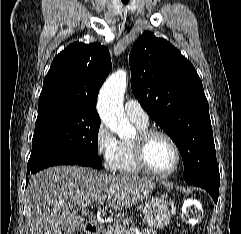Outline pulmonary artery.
Returning a JSON list of instances; mask_svg holds the SVG:
<instances>
[{
	"label": "pulmonary artery",
	"instance_id": "pulmonary-artery-1",
	"mask_svg": "<svg viewBox=\"0 0 241 234\" xmlns=\"http://www.w3.org/2000/svg\"><path fill=\"white\" fill-rule=\"evenodd\" d=\"M125 112L127 116L136 124L147 125L148 115L140 105V103L135 99H128L124 105Z\"/></svg>",
	"mask_w": 241,
	"mask_h": 234
}]
</instances>
